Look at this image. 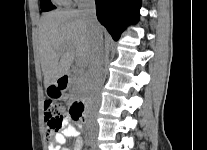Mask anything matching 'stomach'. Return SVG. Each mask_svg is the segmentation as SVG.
Masks as SVG:
<instances>
[{
	"instance_id": "obj_1",
	"label": "stomach",
	"mask_w": 207,
	"mask_h": 150,
	"mask_svg": "<svg viewBox=\"0 0 207 150\" xmlns=\"http://www.w3.org/2000/svg\"><path fill=\"white\" fill-rule=\"evenodd\" d=\"M45 92L47 96L54 99L61 98L64 95V90L59 87L57 81L47 86Z\"/></svg>"
}]
</instances>
